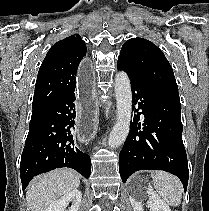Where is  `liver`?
<instances>
[{
  "label": "liver",
  "instance_id": "6515ba94",
  "mask_svg": "<svg viewBox=\"0 0 209 211\" xmlns=\"http://www.w3.org/2000/svg\"><path fill=\"white\" fill-rule=\"evenodd\" d=\"M80 185L79 175L67 168L56 169L34 178L26 193L30 211H45L62 195Z\"/></svg>",
  "mask_w": 209,
  "mask_h": 211
}]
</instances>
